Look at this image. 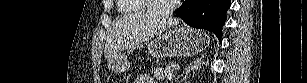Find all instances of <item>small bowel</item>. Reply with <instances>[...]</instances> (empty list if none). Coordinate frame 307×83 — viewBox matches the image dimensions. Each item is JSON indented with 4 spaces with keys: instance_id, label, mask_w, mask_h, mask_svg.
Here are the masks:
<instances>
[{
    "instance_id": "obj_1",
    "label": "small bowel",
    "mask_w": 307,
    "mask_h": 83,
    "mask_svg": "<svg viewBox=\"0 0 307 83\" xmlns=\"http://www.w3.org/2000/svg\"><path fill=\"white\" fill-rule=\"evenodd\" d=\"M136 83H155V81L150 76L146 74H141L137 76Z\"/></svg>"
}]
</instances>
